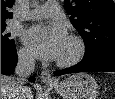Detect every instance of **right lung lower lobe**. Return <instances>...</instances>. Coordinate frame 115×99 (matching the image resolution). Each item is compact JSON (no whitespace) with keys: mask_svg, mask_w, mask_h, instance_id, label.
<instances>
[{"mask_svg":"<svg viewBox=\"0 0 115 99\" xmlns=\"http://www.w3.org/2000/svg\"><path fill=\"white\" fill-rule=\"evenodd\" d=\"M17 64V52L15 44L10 47H1V74H12ZM34 82V78H29Z\"/></svg>","mask_w":115,"mask_h":99,"instance_id":"right-lung-lower-lobe-1","label":"right lung lower lobe"}]
</instances>
